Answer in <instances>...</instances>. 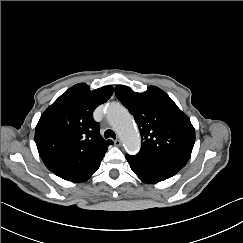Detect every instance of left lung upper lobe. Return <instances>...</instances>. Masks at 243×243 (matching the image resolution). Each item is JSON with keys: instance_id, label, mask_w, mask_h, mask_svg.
I'll list each match as a JSON object with an SVG mask.
<instances>
[{"instance_id": "obj_1", "label": "left lung upper lobe", "mask_w": 243, "mask_h": 243, "mask_svg": "<svg viewBox=\"0 0 243 243\" xmlns=\"http://www.w3.org/2000/svg\"><path fill=\"white\" fill-rule=\"evenodd\" d=\"M115 94L138 124L142 136L139 154L189 160L195 143L194 127L164 91L150 86L139 94L118 85Z\"/></svg>"}]
</instances>
